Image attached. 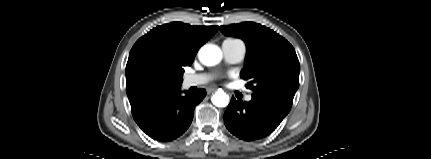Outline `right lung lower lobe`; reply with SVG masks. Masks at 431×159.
Listing matches in <instances>:
<instances>
[{
    "label": "right lung lower lobe",
    "instance_id": "obj_1",
    "mask_svg": "<svg viewBox=\"0 0 431 159\" xmlns=\"http://www.w3.org/2000/svg\"><path fill=\"white\" fill-rule=\"evenodd\" d=\"M180 88L155 95L132 109V115L139 127L151 138L169 142L181 136L190 126L195 106L206 96L201 89L198 94Z\"/></svg>",
    "mask_w": 431,
    "mask_h": 159
}]
</instances>
